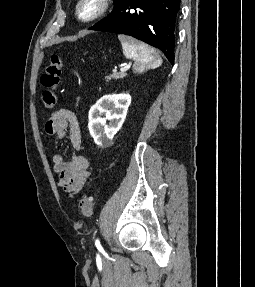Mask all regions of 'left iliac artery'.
Wrapping results in <instances>:
<instances>
[{"instance_id":"obj_1","label":"left iliac artery","mask_w":255,"mask_h":287,"mask_svg":"<svg viewBox=\"0 0 255 287\" xmlns=\"http://www.w3.org/2000/svg\"><path fill=\"white\" fill-rule=\"evenodd\" d=\"M95 244H96V246H100L99 240H96Z\"/></svg>"}]
</instances>
